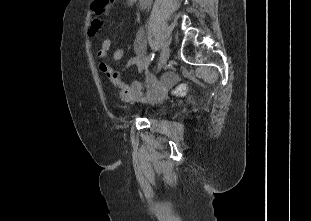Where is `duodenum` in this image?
<instances>
[{
	"instance_id": "duodenum-1",
	"label": "duodenum",
	"mask_w": 311,
	"mask_h": 221,
	"mask_svg": "<svg viewBox=\"0 0 311 221\" xmlns=\"http://www.w3.org/2000/svg\"><path fill=\"white\" fill-rule=\"evenodd\" d=\"M137 2H138L139 8L143 9L151 2V0H137Z\"/></svg>"
}]
</instances>
